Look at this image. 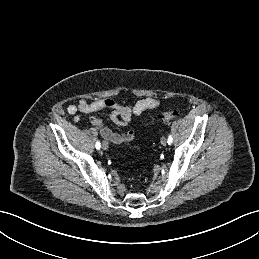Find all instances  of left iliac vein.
Listing matches in <instances>:
<instances>
[{"instance_id": "left-iliac-vein-1", "label": "left iliac vein", "mask_w": 259, "mask_h": 259, "mask_svg": "<svg viewBox=\"0 0 259 259\" xmlns=\"http://www.w3.org/2000/svg\"><path fill=\"white\" fill-rule=\"evenodd\" d=\"M160 142H161V145L166 146V145H167V139H166V137L163 136V137L161 138Z\"/></svg>"}]
</instances>
